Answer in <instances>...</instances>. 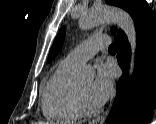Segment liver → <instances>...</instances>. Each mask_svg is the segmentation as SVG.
Returning a JSON list of instances; mask_svg holds the SVG:
<instances>
[{
  "label": "liver",
  "instance_id": "6515ba94",
  "mask_svg": "<svg viewBox=\"0 0 156 124\" xmlns=\"http://www.w3.org/2000/svg\"><path fill=\"white\" fill-rule=\"evenodd\" d=\"M32 124H49V123H45V122H42V121H37V122H33Z\"/></svg>",
  "mask_w": 156,
  "mask_h": 124
}]
</instances>
